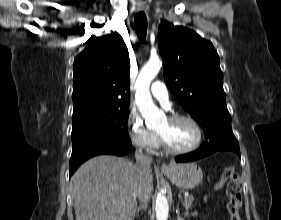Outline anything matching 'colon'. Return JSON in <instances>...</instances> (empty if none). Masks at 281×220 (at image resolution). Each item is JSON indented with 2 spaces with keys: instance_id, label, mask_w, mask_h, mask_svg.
I'll use <instances>...</instances> for the list:
<instances>
[{
  "instance_id": "1",
  "label": "colon",
  "mask_w": 281,
  "mask_h": 220,
  "mask_svg": "<svg viewBox=\"0 0 281 220\" xmlns=\"http://www.w3.org/2000/svg\"><path fill=\"white\" fill-rule=\"evenodd\" d=\"M226 183L227 211L230 220H241L240 209L242 206L240 176L234 167L224 169L216 189H220Z\"/></svg>"
}]
</instances>
